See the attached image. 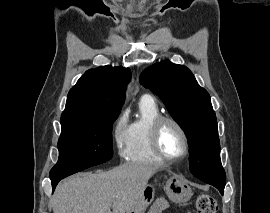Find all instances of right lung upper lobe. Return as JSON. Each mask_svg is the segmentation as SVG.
Wrapping results in <instances>:
<instances>
[{
    "label": "right lung upper lobe",
    "mask_w": 270,
    "mask_h": 213,
    "mask_svg": "<svg viewBox=\"0 0 270 213\" xmlns=\"http://www.w3.org/2000/svg\"><path fill=\"white\" fill-rule=\"evenodd\" d=\"M130 77V70L123 67L101 66L87 70L69 91L61 117L119 113Z\"/></svg>",
    "instance_id": "obj_1"
}]
</instances>
